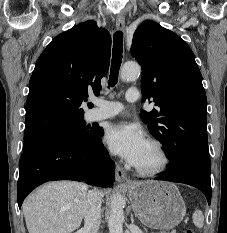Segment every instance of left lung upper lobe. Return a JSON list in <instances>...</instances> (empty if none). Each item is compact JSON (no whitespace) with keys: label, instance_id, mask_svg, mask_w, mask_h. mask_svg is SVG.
<instances>
[{"label":"left lung upper lobe","instance_id":"left-lung-upper-lobe-1","mask_svg":"<svg viewBox=\"0 0 227 233\" xmlns=\"http://www.w3.org/2000/svg\"><path fill=\"white\" fill-rule=\"evenodd\" d=\"M131 54L142 66V101L152 98L158 107L141 118L163 144L168 168L194 162L210 169L207 98L190 47L174 32L145 21L134 33Z\"/></svg>","mask_w":227,"mask_h":233}]
</instances>
